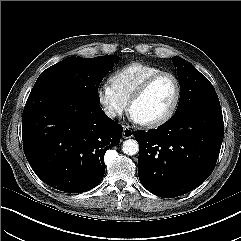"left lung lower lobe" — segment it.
<instances>
[{
	"label": "left lung lower lobe",
	"instance_id": "0a47b994",
	"mask_svg": "<svg viewBox=\"0 0 241 241\" xmlns=\"http://www.w3.org/2000/svg\"><path fill=\"white\" fill-rule=\"evenodd\" d=\"M223 136L221 107L213 106L187 108L155 130L136 131L141 184L163 198L190 192L214 170Z\"/></svg>",
	"mask_w": 241,
	"mask_h": 241
}]
</instances>
